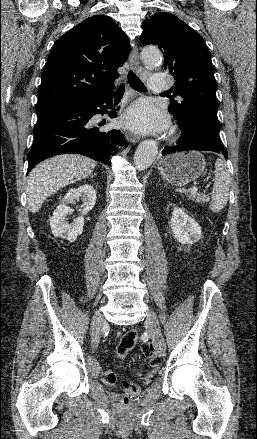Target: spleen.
<instances>
[{
  "mask_svg": "<svg viewBox=\"0 0 257 439\" xmlns=\"http://www.w3.org/2000/svg\"><path fill=\"white\" fill-rule=\"evenodd\" d=\"M230 174L222 159L215 162V181L211 192V209L217 213L222 210L229 198Z\"/></svg>",
  "mask_w": 257,
  "mask_h": 439,
  "instance_id": "1",
  "label": "spleen"
}]
</instances>
